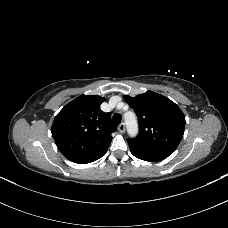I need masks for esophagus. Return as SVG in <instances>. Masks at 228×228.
<instances>
[{"label": "esophagus", "mask_w": 228, "mask_h": 228, "mask_svg": "<svg viewBox=\"0 0 228 228\" xmlns=\"http://www.w3.org/2000/svg\"><path fill=\"white\" fill-rule=\"evenodd\" d=\"M118 130H119L121 133H124V132H125V124H124V123H121V124L118 126Z\"/></svg>", "instance_id": "34e87169"}]
</instances>
